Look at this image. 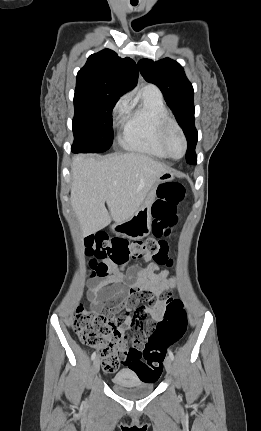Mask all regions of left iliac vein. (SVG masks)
<instances>
[{"mask_svg": "<svg viewBox=\"0 0 261 431\" xmlns=\"http://www.w3.org/2000/svg\"><path fill=\"white\" fill-rule=\"evenodd\" d=\"M165 369L169 375L172 374L173 364H172V360L170 359V357H166V359H165Z\"/></svg>", "mask_w": 261, "mask_h": 431, "instance_id": "obj_1", "label": "left iliac vein"}]
</instances>
